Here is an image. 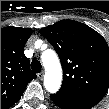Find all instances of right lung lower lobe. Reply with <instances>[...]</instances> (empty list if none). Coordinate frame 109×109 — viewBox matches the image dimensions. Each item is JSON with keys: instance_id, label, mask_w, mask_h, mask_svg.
<instances>
[{"instance_id": "obj_1", "label": "right lung lower lobe", "mask_w": 109, "mask_h": 109, "mask_svg": "<svg viewBox=\"0 0 109 109\" xmlns=\"http://www.w3.org/2000/svg\"><path fill=\"white\" fill-rule=\"evenodd\" d=\"M19 99H20V98H19ZM19 99H18V100H19ZM18 100H17V101H18ZM17 101H16V102H17ZM16 102H15V103H16ZM15 103H13V104H15ZM13 104H12V105H13Z\"/></svg>"}]
</instances>
